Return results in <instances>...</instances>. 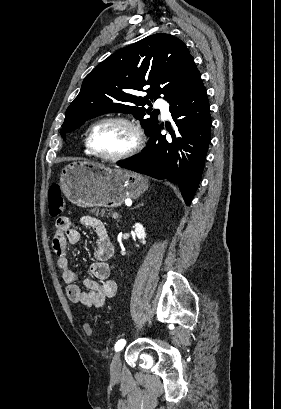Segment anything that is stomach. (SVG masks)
I'll return each mask as SVG.
<instances>
[{"mask_svg":"<svg viewBox=\"0 0 281 409\" xmlns=\"http://www.w3.org/2000/svg\"><path fill=\"white\" fill-rule=\"evenodd\" d=\"M62 192L77 207H120L125 198H138L147 180L126 168H108L102 162L74 160L60 174Z\"/></svg>","mask_w":281,"mask_h":409,"instance_id":"obj_1","label":"stomach"}]
</instances>
